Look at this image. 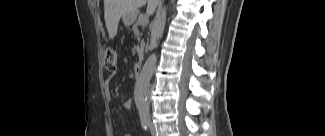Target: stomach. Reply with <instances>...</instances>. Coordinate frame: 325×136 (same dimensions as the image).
I'll list each match as a JSON object with an SVG mask.
<instances>
[{
	"label": "stomach",
	"mask_w": 325,
	"mask_h": 136,
	"mask_svg": "<svg viewBox=\"0 0 325 136\" xmlns=\"http://www.w3.org/2000/svg\"><path fill=\"white\" fill-rule=\"evenodd\" d=\"M137 18V15L134 14V13H131L129 15H126L123 17V21L127 24V25H130L132 24Z\"/></svg>",
	"instance_id": "1"
}]
</instances>
